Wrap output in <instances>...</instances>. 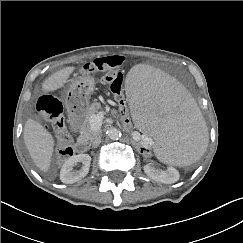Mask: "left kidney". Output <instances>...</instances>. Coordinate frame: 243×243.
<instances>
[{"mask_svg":"<svg viewBox=\"0 0 243 243\" xmlns=\"http://www.w3.org/2000/svg\"><path fill=\"white\" fill-rule=\"evenodd\" d=\"M145 174L156 181L162 182L164 184H172L179 180V172L172 166L167 168V171H162L150 164H146L143 167Z\"/></svg>","mask_w":243,"mask_h":243,"instance_id":"1","label":"left kidney"}]
</instances>
